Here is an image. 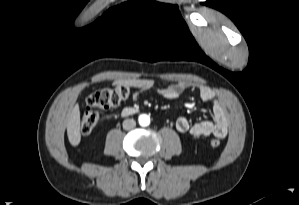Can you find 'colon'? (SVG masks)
<instances>
[{
  "mask_svg": "<svg viewBox=\"0 0 299 205\" xmlns=\"http://www.w3.org/2000/svg\"><path fill=\"white\" fill-rule=\"evenodd\" d=\"M130 84L120 82L112 87L101 88L90 94L86 100V109L81 118V132L88 135L92 132L98 123V109H107L118 106L122 101L128 98L130 94ZM220 140L213 138L210 144L213 147L220 146Z\"/></svg>",
  "mask_w": 299,
  "mask_h": 205,
  "instance_id": "colon-1",
  "label": "colon"
}]
</instances>
